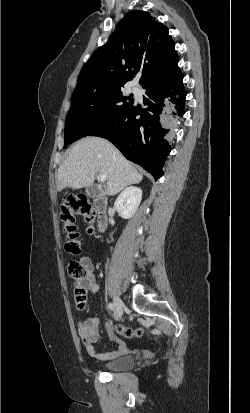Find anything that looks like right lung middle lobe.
Here are the masks:
<instances>
[{"mask_svg":"<svg viewBox=\"0 0 250 413\" xmlns=\"http://www.w3.org/2000/svg\"><path fill=\"white\" fill-rule=\"evenodd\" d=\"M133 103V95L124 96L121 88L74 94L65 124L64 148L103 127Z\"/></svg>","mask_w":250,"mask_h":413,"instance_id":"obj_1","label":"right lung middle lobe"}]
</instances>
